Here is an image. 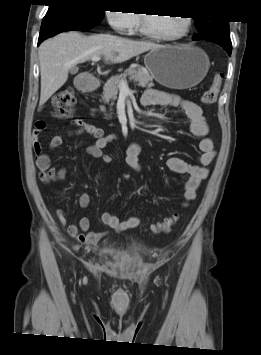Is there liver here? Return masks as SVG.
<instances>
[{"instance_id":"1","label":"liver","mask_w":261,"mask_h":355,"mask_svg":"<svg viewBox=\"0 0 261 355\" xmlns=\"http://www.w3.org/2000/svg\"><path fill=\"white\" fill-rule=\"evenodd\" d=\"M161 45L134 41L108 34L83 36L76 31L61 33L44 41L38 50L41 75L39 105L42 106L67 81L68 72L94 56L121 63Z\"/></svg>"}]
</instances>
